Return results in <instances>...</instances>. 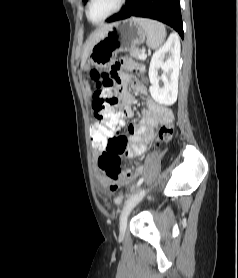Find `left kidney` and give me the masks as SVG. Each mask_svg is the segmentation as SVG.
<instances>
[{
    "instance_id": "obj_1",
    "label": "left kidney",
    "mask_w": 238,
    "mask_h": 278,
    "mask_svg": "<svg viewBox=\"0 0 238 278\" xmlns=\"http://www.w3.org/2000/svg\"><path fill=\"white\" fill-rule=\"evenodd\" d=\"M159 69L163 75H158ZM180 69V42L175 34L170 35L167 42L152 56L149 67V88L152 98L159 104L172 105L177 100L178 77ZM163 82L160 87L159 81Z\"/></svg>"
}]
</instances>
